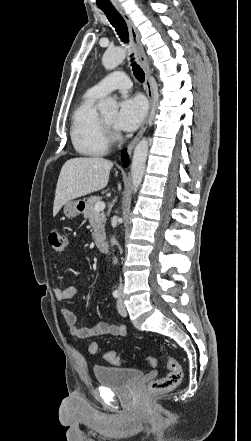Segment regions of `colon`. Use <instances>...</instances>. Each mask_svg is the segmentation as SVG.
<instances>
[{
	"label": "colon",
	"mask_w": 251,
	"mask_h": 441,
	"mask_svg": "<svg viewBox=\"0 0 251 441\" xmlns=\"http://www.w3.org/2000/svg\"><path fill=\"white\" fill-rule=\"evenodd\" d=\"M48 241L54 252H62L68 243V237L61 230L53 229L49 233ZM88 350L91 354L97 353L98 344L96 342L90 343ZM104 359L114 365H119L121 363L119 356L112 351L106 352L104 354ZM164 359L168 373L165 376L156 379L149 385L148 390L150 393L170 391L176 388L182 381L183 372L180 364L174 358L167 355L164 356ZM147 363L153 367L156 365V360L153 357H149Z\"/></svg>",
	"instance_id": "obj_1"
}]
</instances>
